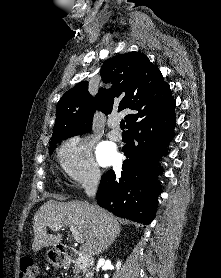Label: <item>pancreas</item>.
Wrapping results in <instances>:
<instances>
[{
	"label": "pancreas",
	"mask_w": 221,
	"mask_h": 278,
	"mask_svg": "<svg viewBox=\"0 0 221 278\" xmlns=\"http://www.w3.org/2000/svg\"><path fill=\"white\" fill-rule=\"evenodd\" d=\"M74 273H75V278H80L78 276L79 270H78L77 266H75V268H74Z\"/></svg>",
	"instance_id": "1"
}]
</instances>
